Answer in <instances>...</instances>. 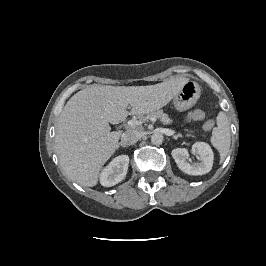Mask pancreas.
<instances>
[{
	"mask_svg": "<svg viewBox=\"0 0 266 266\" xmlns=\"http://www.w3.org/2000/svg\"><path fill=\"white\" fill-rule=\"evenodd\" d=\"M151 117L160 119V121L163 122V124L165 125L172 124L173 122V120L170 119L168 114H166L163 110L152 111L148 113L146 116L140 115L139 120L143 123L149 120Z\"/></svg>",
	"mask_w": 266,
	"mask_h": 266,
	"instance_id": "pancreas-1",
	"label": "pancreas"
}]
</instances>
